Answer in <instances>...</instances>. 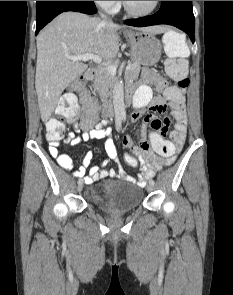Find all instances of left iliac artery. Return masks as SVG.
<instances>
[{
  "instance_id": "left-iliac-artery-1",
  "label": "left iliac artery",
  "mask_w": 233,
  "mask_h": 295,
  "mask_svg": "<svg viewBox=\"0 0 233 295\" xmlns=\"http://www.w3.org/2000/svg\"><path fill=\"white\" fill-rule=\"evenodd\" d=\"M149 184L154 185V184H155V181L152 180V179H150V180H149Z\"/></svg>"
}]
</instances>
